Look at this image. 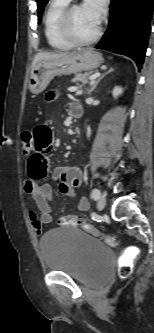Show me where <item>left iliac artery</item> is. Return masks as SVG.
<instances>
[{
	"label": "left iliac artery",
	"instance_id": "obj_1",
	"mask_svg": "<svg viewBox=\"0 0 154 333\" xmlns=\"http://www.w3.org/2000/svg\"><path fill=\"white\" fill-rule=\"evenodd\" d=\"M91 197L94 199V200H97L99 197H100V191L99 189L97 188H94L91 192Z\"/></svg>",
	"mask_w": 154,
	"mask_h": 333
}]
</instances>
